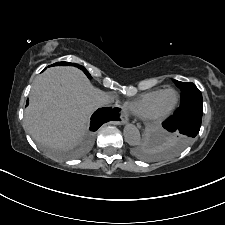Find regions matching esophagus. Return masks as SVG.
I'll return each mask as SVG.
<instances>
[{
    "instance_id": "1",
    "label": "esophagus",
    "mask_w": 225,
    "mask_h": 225,
    "mask_svg": "<svg viewBox=\"0 0 225 225\" xmlns=\"http://www.w3.org/2000/svg\"><path fill=\"white\" fill-rule=\"evenodd\" d=\"M120 113L121 116L117 123L121 125L127 123L129 120L127 111L123 107H121Z\"/></svg>"
}]
</instances>
